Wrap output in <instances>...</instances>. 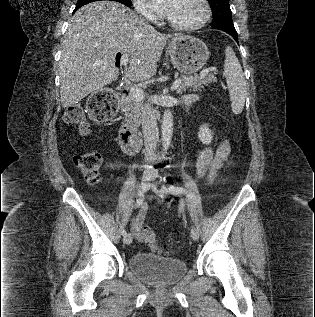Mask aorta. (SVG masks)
<instances>
[{"instance_id": "obj_1", "label": "aorta", "mask_w": 315, "mask_h": 317, "mask_svg": "<svg viewBox=\"0 0 315 317\" xmlns=\"http://www.w3.org/2000/svg\"><path fill=\"white\" fill-rule=\"evenodd\" d=\"M173 135V115L169 109L164 112L162 127H161V140L163 150L167 151L170 146Z\"/></svg>"}]
</instances>
